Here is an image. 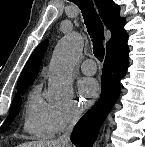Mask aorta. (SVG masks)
Masks as SVG:
<instances>
[{
  "mask_svg": "<svg viewBox=\"0 0 145 147\" xmlns=\"http://www.w3.org/2000/svg\"><path fill=\"white\" fill-rule=\"evenodd\" d=\"M83 50L82 36L72 32L57 44L49 70V98L54 103L66 102L72 95V70Z\"/></svg>",
  "mask_w": 145,
  "mask_h": 147,
  "instance_id": "aorta-1",
  "label": "aorta"
}]
</instances>
